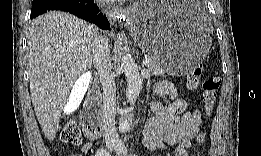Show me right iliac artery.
<instances>
[{"instance_id": "82829eb1", "label": "right iliac artery", "mask_w": 261, "mask_h": 156, "mask_svg": "<svg viewBox=\"0 0 261 156\" xmlns=\"http://www.w3.org/2000/svg\"><path fill=\"white\" fill-rule=\"evenodd\" d=\"M96 155L97 156H108L109 155V153L107 152V150H105V149H99L97 152H96Z\"/></svg>"}]
</instances>
